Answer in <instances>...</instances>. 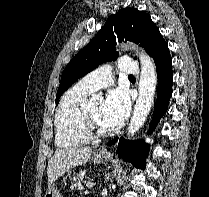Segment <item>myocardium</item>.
Here are the masks:
<instances>
[{"label": "myocardium", "instance_id": "f54148a6", "mask_svg": "<svg viewBox=\"0 0 209 197\" xmlns=\"http://www.w3.org/2000/svg\"><path fill=\"white\" fill-rule=\"evenodd\" d=\"M81 127L84 133L91 139L105 136L110 131L109 129L102 128L96 124L89 112L87 103L84 104L81 111Z\"/></svg>", "mask_w": 209, "mask_h": 197}]
</instances>
